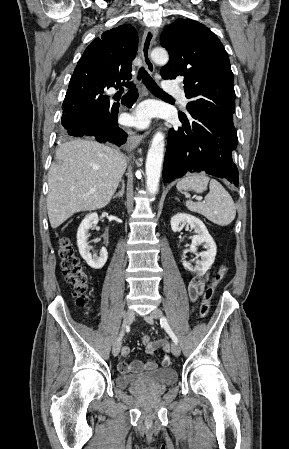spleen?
Wrapping results in <instances>:
<instances>
[{
  "mask_svg": "<svg viewBox=\"0 0 289 449\" xmlns=\"http://www.w3.org/2000/svg\"><path fill=\"white\" fill-rule=\"evenodd\" d=\"M209 185V193L204 202L186 201V207L205 216L211 222L220 225H229L236 216L234 201L225 188L215 179H210L203 173L189 174L177 183L178 190L192 189L202 193Z\"/></svg>",
  "mask_w": 289,
  "mask_h": 449,
  "instance_id": "obj_1",
  "label": "spleen"
}]
</instances>
